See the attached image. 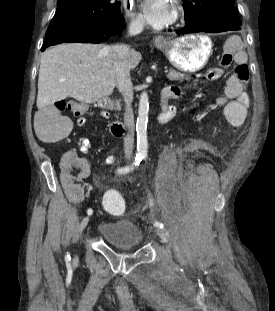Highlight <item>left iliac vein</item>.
I'll return each mask as SVG.
<instances>
[{"mask_svg":"<svg viewBox=\"0 0 275 311\" xmlns=\"http://www.w3.org/2000/svg\"><path fill=\"white\" fill-rule=\"evenodd\" d=\"M155 232L164 242H168L169 234H168V232L165 229L156 228Z\"/></svg>","mask_w":275,"mask_h":311,"instance_id":"left-iliac-vein-1","label":"left iliac vein"}]
</instances>
